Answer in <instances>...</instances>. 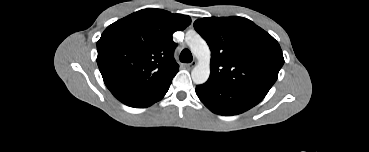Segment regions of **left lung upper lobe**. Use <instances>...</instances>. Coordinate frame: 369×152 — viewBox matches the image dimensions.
Here are the masks:
<instances>
[{
  "mask_svg": "<svg viewBox=\"0 0 369 152\" xmlns=\"http://www.w3.org/2000/svg\"><path fill=\"white\" fill-rule=\"evenodd\" d=\"M194 28L211 50L209 81L265 97L284 63L270 34L243 17L203 18Z\"/></svg>",
  "mask_w": 369,
  "mask_h": 152,
  "instance_id": "5c2ea615",
  "label": "left lung upper lobe"
}]
</instances>
